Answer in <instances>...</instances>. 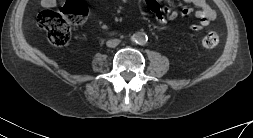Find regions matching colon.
<instances>
[{
  "label": "colon",
  "instance_id": "obj_1",
  "mask_svg": "<svg viewBox=\"0 0 253 138\" xmlns=\"http://www.w3.org/2000/svg\"><path fill=\"white\" fill-rule=\"evenodd\" d=\"M88 14V7L83 0H69L59 11L44 10L37 17L38 25L48 32L50 42L54 46L62 47L69 43L71 30L82 24ZM219 42L215 32L207 33L202 44L206 48H213Z\"/></svg>",
  "mask_w": 253,
  "mask_h": 138
}]
</instances>
